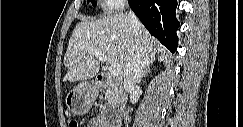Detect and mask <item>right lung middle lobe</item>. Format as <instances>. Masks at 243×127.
Instances as JSON below:
<instances>
[{
  "mask_svg": "<svg viewBox=\"0 0 243 127\" xmlns=\"http://www.w3.org/2000/svg\"><path fill=\"white\" fill-rule=\"evenodd\" d=\"M91 3L93 4V6H96V3L94 0H91Z\"/></svg>",
  "mask_w": 243,
  "mask_h": 127,
  "instance_id": "dd1d6c3e",
  "label": "right lung middle lobe"
}]
</instances>
